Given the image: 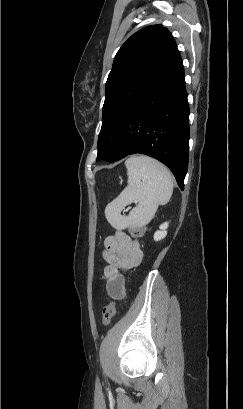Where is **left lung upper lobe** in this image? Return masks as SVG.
<instances>
[{"label": "left lung upper lobe", "instance_id": "left-lung-upper-lobe-1", "mask_svg": "<svg viewBox=\"0 0 243 409\" xmlns=\"http://www.w3.org/2000/svg\"><path fill=\"white\" fill-rule=\"evenodd\" d=\"M176 49L174 38L162 25L139 30L119 49L106 82L97 160L113 158L127 114Z\"/></svg>", "mask_w": 243, "mask_h": 409}]
</instances>
